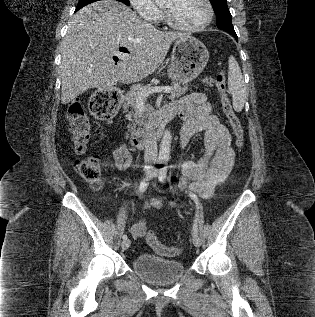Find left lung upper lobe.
I'll return each instance as SVG.
<instances>
[{"label": "left lung upper lobe", "instance_id": "5c2ea615", "mask_svg": "<svg viewBox=\"0 0 315 317\" xmlns=\"http://www.w3.org/2000/svg\"><path fill=\"white\" fill-rule=\"evenodd\" d=\"M216 13L217 27L228 33H235L231 22V14L227 6V0H210Z\"/></svg>", "mask_w": 315, "mask_h": 317}]
</instances>
